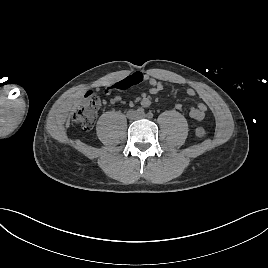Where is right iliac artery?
Here are the masks:
<instances>
[{"mask_svg": "<svg viewBox=\"0 0 268 268\" xmlns=\"http://www.w3.org/2000/svg\"><path fill=\"white\" fill-rule=\"evenodd\" d=\"M137 114H144V109L141 108V107H139V108L137 109Z\"/></svg>", "mask_w": 268, "mask_h": 268, "instance_id": "right-iliac-artery-1", "label": "right iliac artery"}]
</instances>
